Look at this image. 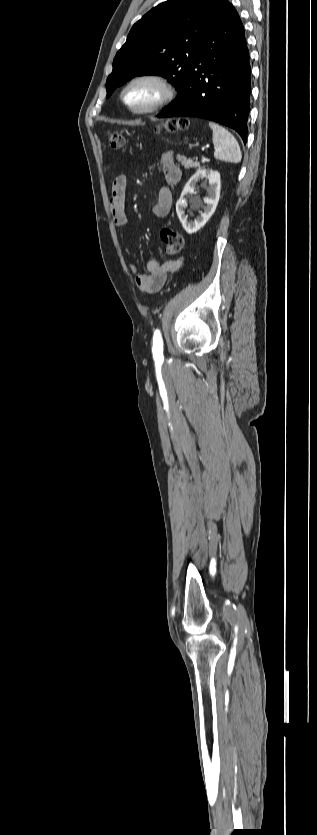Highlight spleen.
<instances>
[{
	"mask_svg": "<svg viewBox=\"0 0 317 835\" xmlns=\"http://www.w3.org/2000/svg\"><path fill=\"white\" fill-rule=\"evenodd\" d=\"M209 126L213 131L214 157L225 162L239 163L242 154L234 136L227 129L215 122H209Z\"/></svg>",
	"mask_w": 317,
	"mask_h": 835,
	"instance_id": "spleen-1",
	"label": "spleen"
}]
</instances>
